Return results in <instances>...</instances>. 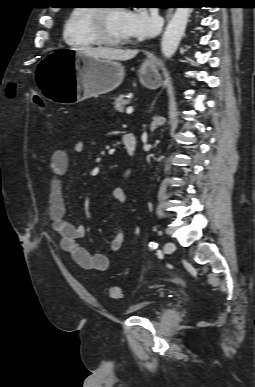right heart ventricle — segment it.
<instances>
[{
    "instance_id": "e07e8e85",
    "label": "right heart ventricle",
    "mask_w": 255,
    "mask_h": 387,
    "mask_svg": "<svg viewBox=\"0 0 255 387\" xmlns=\"http://www.w3.org/2000/svg\"><path fill=\"white\" fill-rule=\"evenodd\" d=\"M92 9L90 6H76L70 11L63 27V39L67 45L83 49L100 44L90 27Z\"/></svg>"
}]
</instances>
